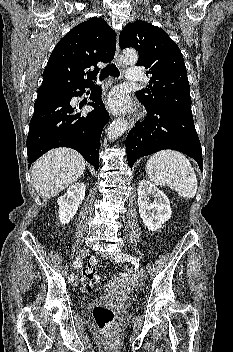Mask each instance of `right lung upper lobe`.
<instances>
[{
	"instance_id": "cb5924a9",
	"label": "right lung upper lobe",
	"mask_w": 233,
	"mask_h": 352,
	"mask_svg": "<svg viewBox=\"0 0 233 352\" xmlns=\"http://www.w3.org/2000/svg\"><path fill=\"white\" fill-rule=\"evenodd\" d=\"M116 36L102 18H91L69 31L55 46L43 72L42 87L74 88L92 83L98 62L115 55ZM94 66L91 72L88 68Z\"/></svg>"
}]
</instances>
